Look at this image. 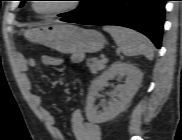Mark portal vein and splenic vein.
Listing matches in <instances>:
<instances>
[{"label": "portal vein and splenic vein", "mask_w": 182, "mask_h": 140, "mask_svg": "<svg viewBox=\"0 0 182 140\" xmlns=\"http://www.w3.org/2000/svg\"><path fill=\"white\" fill-rule=\"evenodd\" d=\"M102 61L107 62V58L105 56H102Z\"/></svg>", "instance_id": "obj_1"}]
</instances>
